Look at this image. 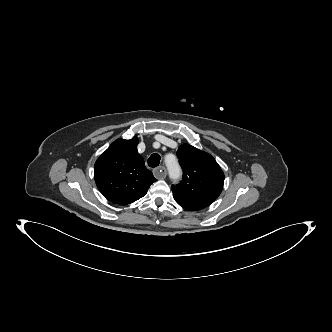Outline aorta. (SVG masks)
<instances>
[{
	"label": "aorta",
	"instance_id": "obj_1",
	"mask_svg": "<svg viewBox=\"0 0 332 332\" xmlns=\"http://www.w3.org/2000/svg\"><path fill=\"white\" fill-rule=\"evenodd\" d=\"M164 161L167 166L170 178L173 180L179 179L181 176V168L176 157L173 154H167L164 157Z\"/></svg>",
	"mask_w": 332,
	"mask_h": 332
}]
</instances>
